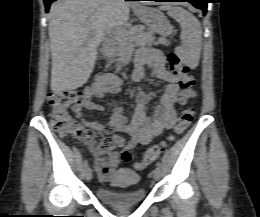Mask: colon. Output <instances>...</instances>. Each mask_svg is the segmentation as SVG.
<instances>
[{
  "label": "colon",
  "instance_id": "1",
  "mask_svg": "<svg viewBox=\"0 0 260 217\" xmlns=\"http://www.w3.org/2000/svg\"><path fill=\"white\" fill-rule=\"evenodd\" d=\"M168 65L172 73L180 77V86L182 88V98L187 101L194 96L195 79L189 75L188 66L176 55L168 56ZM88 99L86 92L71 90L62 92H53L48 97V103L51 107L50 125L52 129L63 137H69L84 142L95 156V167L97 172L108 178L113 172L111 165V156L115 154V143L112 139L104 137L99 131L81 126L72 118L69 109L85 103ZM194 108L190 107L183 111L180 119L173 129V132L166 141L148 149L144 156L137 162L139 169L155 161L165 150L168 142L182 134L194 120ZM122 159H131L132 151L124 149L120 152Z\"/></svg>",
  "mask_w": 260,
  "mask_h": 217
}]
</instances>
